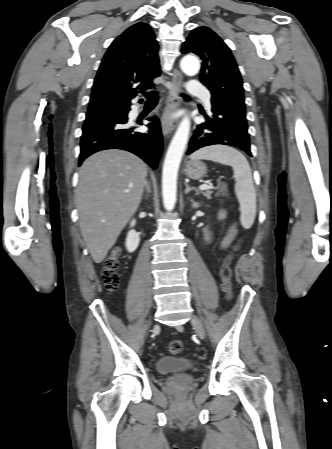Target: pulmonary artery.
Masks as SVG:
<instances>
[{"label":"pulmonary artery","instance_id":"e3ab8cb5","mask_svg":"<svg viewBox=\"0 0 332 449\" xmlns=\"http://www.w3.org/2000/svg\"><path fill=\"white\" fill-rule=\"evenodd\" d=\"M189 93L191 95L200 97L205 103L207 108L211 107L210 92L205 86L195 81H192V83L189 85Z\"/></svg>","mask_w":332,"mask_h":449}]
</instances>
